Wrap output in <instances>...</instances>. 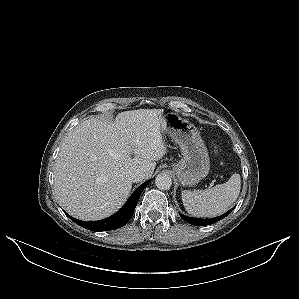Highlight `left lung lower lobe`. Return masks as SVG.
Returning <instances> with one entry per match:
<instances>
[{
  "label": "left lung lower lobe",
  "instance_id": "0a47b994",
  "mask_svg": "<svg viewBox=\"0 0 299 299\" xmlns=\"http://www.w3.org/2000/svg\"><path fill=\"white\" fill-rule=\"evenodd\" d=\"M233 209H234V207L232 209H230L229 211H227L225 214L215 217V218H211V219L190 218V217H186L184 215H180V217L192 225L205 226V225H211V224L221 220L222 218L226 217Z\"/></svg>",
  "mask_w": 299,
  "mask_h": 299
}]
</instances>
